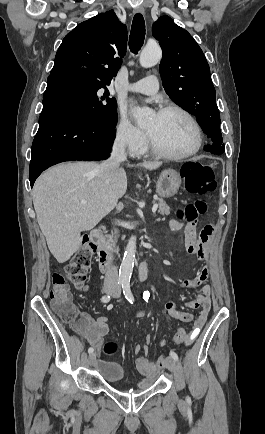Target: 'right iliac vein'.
I'll list each match as a JSON object with an SVG mask.
<instances>
[{
	"instance_id": "obj_1",
	"label": "right iliac vein",
	"mask_w": 265,
	"mask_h": 434,
	"mask_svg": "<svg viewBox=\"0 0 265 434\" xmlns=\"http://www.w3.org/2000/svg\"><path fill=\"white\" fill-rule=\"evenodd\" d=\"M104 291L109 294V293H112L114 291V288L111 287V286H106L104 288ZM88 359H89V364L92 365L94 363L95 359H96V355L95 354H90L89 357H88Z\"/></svg>"
}]
</instances>
